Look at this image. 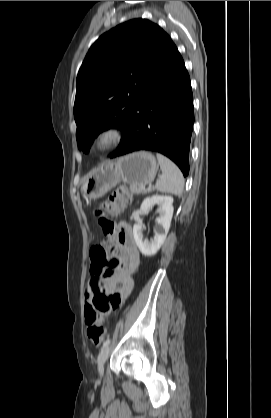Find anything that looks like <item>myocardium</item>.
<instances>
[{"label": "myocardium", "instance_id": "f54148a6", "mask_svg": "<svg viewBox=\"0 0 271 418\" xmlns=\"http://www.w3.org/2000/svg\"><path fill=\"white\" fill-rule=\"evenodd\" d=\"M123 138L122 130L116 126L99 129L92 138L91 149L95 153H106L119 146Z\"/></svg>", "mask_w": 271, "mask_h": 418}]
</instances>
